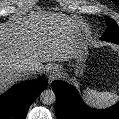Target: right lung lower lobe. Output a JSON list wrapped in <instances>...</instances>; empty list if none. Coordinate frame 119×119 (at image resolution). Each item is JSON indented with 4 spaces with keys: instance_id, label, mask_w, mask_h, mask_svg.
<instances>
[{
    "instance_id": "obj_1",
    "label": "right lung lower lobe",
    "mask_w": 119,
    "mask_h": 119,
    "mask_svg": "<svg viewBox=\"0 0 119 119\" xmlns=\"http://www.w3.org/2000/svg\"><path fill=\"white\" fill-rule=\"evenodd\" d=\"M47 84L45 76H41L10 88L0 96V119H26L29 106Z\"/></svg>"
}]
</instances>
